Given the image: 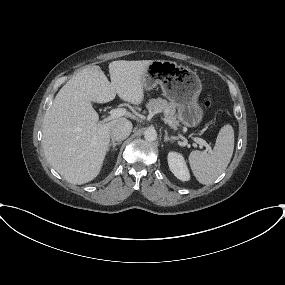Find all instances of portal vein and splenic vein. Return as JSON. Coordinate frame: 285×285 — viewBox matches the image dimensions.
<instances>
[{
  "label": "portal vein and splenic vein",
  "instance_id": "obj_1",
  "mask_svg": "<svg viewBox=\"0 0 285 285\" xmlns=\"http://www.w3.org/2000/svg\"><path fill=\"white\" fill-rule=\"evenodd\" d=\"M126 114H128V113H127V111L124 108L112 109L110 111V118L114 119V118H118V117L124 116ZM194 141L196 143H198L200 146H205L206 150L211 152V146L205 140H203L201 138H194Z\"/></svg>",
  "mask_w": 285,
  "mask_h": 285
}]
</instances>
